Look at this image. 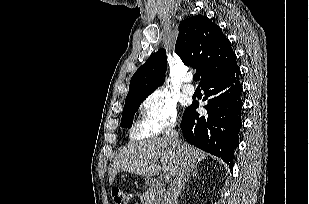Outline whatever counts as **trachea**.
Segmentation results:
<instances>
[{"mask_svg":"<svg viewBox=\"0 0 309 204\" xmlns=\"http://www.w3.org/2000/svg\"><path fill=\"white\" fill-rule=\"evenodd\" d=\"M200 79V75L198 73L194 74V81H198Z\"/></svg>","mask_w":309,"mask_h":204,"instance_id":"trachea-1","label":"trachea"}]
</instances>
